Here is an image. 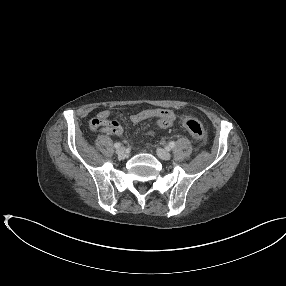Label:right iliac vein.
<instances>
[{"label": "right iliac vein", "mask_w": 286, "mask_h": 286, "mask_svg": "<svg viewBox=\"0 0 286 286\" xmlns=\"http://www.w3.org/2000/svg\"><path fill=\"white\" fill-rule=\"evenodd\" d=\"M125 153H126V150H125L124 147H120V148H118V149L116 150V154H117L118 156H120V157L124 156Z\"/></svg>", "instance_id": "right-iliac-vein-1"}]
</instances>
